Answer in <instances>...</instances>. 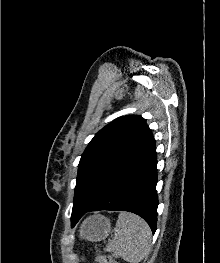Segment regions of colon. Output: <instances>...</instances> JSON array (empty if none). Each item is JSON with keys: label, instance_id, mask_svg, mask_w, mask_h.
Returning a JSON list of instances; mask_svg holds the SVG:
<instances>
[{"label": "colon", "instance_id": "1", "mask_svg": "<svg viewBox=\"0 0 220 263\" xmlns=\"http://www.w3.org/2000/svg\"><path fill=\"white\" fill-rule=\"evenodd\" d=\"M96 262L97 263H119L118 261H116L112 257L104 256V255H98L96 257Z\"/></svg>", "mask_w": 220, "mask_h": 263}]
</instances>
